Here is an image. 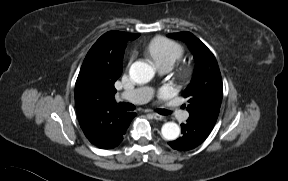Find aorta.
Wrapping results in <instances>:
<instances>
[{"mask_svg":"<svg viewBox=\"0 0 288 181\" xmlns=\"http://www.w3.org/2000/svg\"><path fill=\"white\" fill-rule=\"evenodd\" d=\"M131 79L138 84L149 82L155 74L154 68L146 62L136 61L129 70ZM162 136L169 141L175 140L180 134L179 126L174 122H167L161 128Z\"/></svg>","mask_w":288,"mask_h":181,"instance_id":"762f6f07","label":"aorta"}]
</instances>
